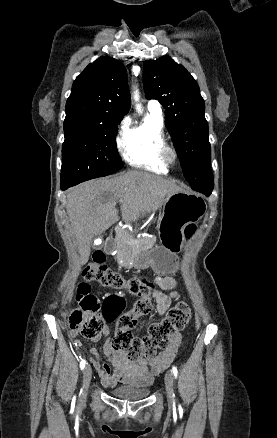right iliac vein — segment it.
<instances>
[{"label":"right iliac vein","mask_w":277,"mask_h":438,"mask_svg":"<svg viewBox=\"0 0 277 438\" xmlns=\"http://www.w3.org/2000/svg\"><path fill=\"white\" fill-rule=\"evenodd\" d=\"M92 378V370L90 366H86L83 371L82 397H85Z\"/></svg>","instance_id":"63e3f726"}]
</instances>
